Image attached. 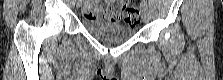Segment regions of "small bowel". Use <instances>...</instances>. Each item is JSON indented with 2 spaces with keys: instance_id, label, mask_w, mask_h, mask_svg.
I'll list each match as a JSON object with an SVG mask.
<instances>
[{
  "instance_id": "small-bowel-1",
  "label": "small bowel",
  "mask_w": 223,
  "mask_h": 80,
  "mask_svg": "<svg viewBox=\"0 0 223 80\" xmlns=\"http://www.w3.org/2000/svg\"><path fill=\"white\" fill-rule=\"evenodd\" d=\"M114 6L115 3L113 1H107L105 6L97 3H88L83 9V14L90 19L115 21L120 19V17L114 12Z\"/></svg>"
}]
</instances>
